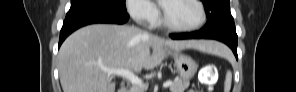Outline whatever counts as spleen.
<instances>
[{"instance_id": "spleen-1", "label": "spleen", "mask_w": 296, "mask_h": 92, "mask_svg": "<svg viewBox=\"0 0 296 92\" xmlns=\"http://www.w3.org/2000/svg\"><path fill=\"white\" fill-rule=\"evenodd\" d=\"M213 53L216 55L226 57V58L231 57L230 52L228 50H226V48L219 43H217L216 49ZM231 82H232V73H231V71H227L225 83H224V92H230Z\"/></svg>"}]
</instances>
